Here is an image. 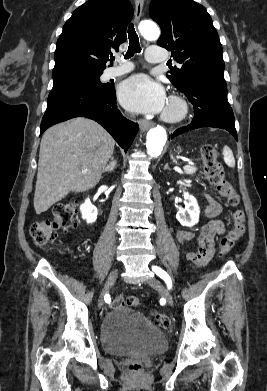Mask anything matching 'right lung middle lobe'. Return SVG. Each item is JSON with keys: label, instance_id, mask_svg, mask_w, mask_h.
<instances>
[{"label": "right lung middle lobe", "instance_id": "right-lung-middle-lobe-1", "mask_svg": "<svg viewBox=\"0 0 267 391\" xmlns=\"http://www.w3.org/2000/svg\"><path fill=\"white\" fill-rule=\"evenodd\" d=\"M101 72L71 73L53 77L52 91L71 86H86L91 88H105L108 84L100 82Z\"/></svg>", "mask_w": 267, "mask_h": 391}]
</instances>
